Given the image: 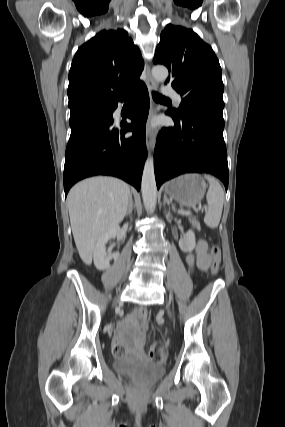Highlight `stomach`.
Masks as SVG:
<instances>
[{
  "mask_svg": "<svg viewBox=\"0 0 285 427\" xmlns=\"http://www.w3.org/2000/svg\"><path fill=\"white\" fill-rule=\"evenodd\" d=\"M205 191L206 183L198 174H185L165 184V193L185 207H195Z\"/></svg>",
  "mask_w": 285,
  "mask_h": 427,
  "instance_id": "obj_1",
  "label": "stomach"
}]
</instances>
